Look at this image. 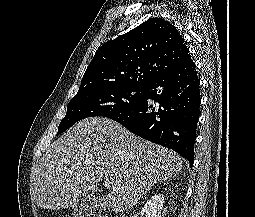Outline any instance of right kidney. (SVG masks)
Masks as SVG:
<instances>
[{"instance_id":"right-kidney-1","label":"right kidney","mask_w":255,"mask_h":217,"mask_svg":"<svg viewBox=\"0 0 255 217\" xmlns=\"http://www.w3.org/2000/svg\"><path fill=\"white\" fill-rule=\"evenodd\" d=\"M164 196L156 194L143 206L141 214L144 217H162Z\"/></svg>"}]
</instances>
